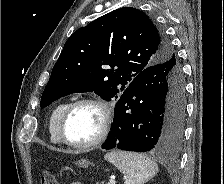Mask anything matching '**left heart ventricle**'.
Listing matches in <instances>:
<instances>
[{
  "label": "left heart ventricle",
  "instance_id": "b2bd125f",
  "mask_svg": "<svg viewBox=\"0 0 224 184\" xmlns=\"http://www.w3.org/2000/svg\"><path fill=\"white\" fill-rule=\"evenodd\" d=\"M102 114L93 105L77 106L70 114L65 131L67 138L73 143H86L93 140L100 129Z\"/></svg>",
  "mask_w": 224,
  "mask_h": 184
}]
</instances>
